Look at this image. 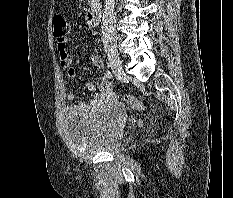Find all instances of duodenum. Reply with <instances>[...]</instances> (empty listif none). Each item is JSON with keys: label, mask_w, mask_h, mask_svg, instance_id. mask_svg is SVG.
<instances>
[{"label": "duodenum", "mask_w": 233, "mask_h": 198, "mask_svg": "<svg viewBox=\"0 0 233 198\" xmlns=\"http://www.w3.org/2000/svg\"><path fill=\"white\" fill-rule=\"evenodd\" d=\"M101 20V13L97 7H92L86 14V21L90 25H97Z\"/></svg>", "instance_id": "duodenum-1"}]
</instances>
